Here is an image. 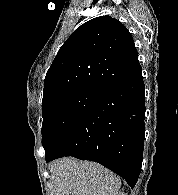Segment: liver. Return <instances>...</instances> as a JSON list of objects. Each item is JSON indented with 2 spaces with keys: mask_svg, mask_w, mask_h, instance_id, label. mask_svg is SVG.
Returning <instances> with one entry per match:
<instances>
[{
  "mask_svg": "<svg viewBox=\"0 0 178 195\" xmlns=\"http://www.w3.org/2000/svg\"><path fill=\"white\" fill-rule=\"evenodd\" d=\"M54 195H114L121 179L98 163L63 158L49 166Z\"/></svg>",
  "mask_w": 178,
  "mask_h": 195,
  "instance_id": "liver-1",
  "label": "liver"
}]
</instances>
